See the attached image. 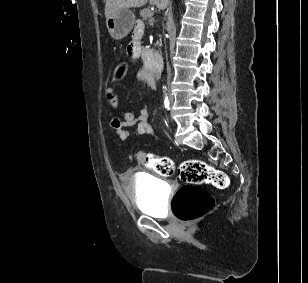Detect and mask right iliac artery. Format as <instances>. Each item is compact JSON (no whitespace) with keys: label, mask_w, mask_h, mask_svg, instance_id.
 <instances>
[{"label":"right iliac artery","mask_w":308,"mask_h":283,"mask_svg":"<svg viewBox=\"0 0 308 283\" xmlns=\"http://www.w3.org/2000/svg\"><path fill=\"white\" fill-rule=\"evenodd\" d=\"M165 108L169 110V101L167 97L165 98Z\"/></svg>","instance_id":"obj_1"}]
</instances>
